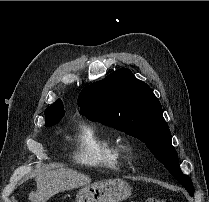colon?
<instances>
[{"mask_svg": "<svg viewBox=\"0 0 209 202\" xmlns=\"http://www.w3.org/2000/svg\"><path fill=\"white\" fill-rule=\"evenodd\" d=\"M144 202H166V200L160 198H147Z\"/></svg>", "mask_w": 209, "mask_h": 202, "instance_id": "1", "label": "colon"}]
</instances>
